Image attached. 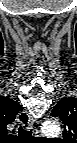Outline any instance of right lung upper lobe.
<instances>
[{
	"instance_id": "right-lung-upper-lobe-1",
	"label": "right lung upper lobe",
	"mask_w": 77,
	"mask_h": 143,
	"mask_svg": "<svg viewBox=\"0 0 77 143\" xmlns=\"http://www.w3.org/2000/svg\"><path fill=\"white\" fill-rule=\"evenodd\" d=\"M22 110L21 105L8 97H0V127L6 130V126L14 121L16 115Z\"/></svg>"
}]
</instances>
